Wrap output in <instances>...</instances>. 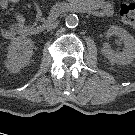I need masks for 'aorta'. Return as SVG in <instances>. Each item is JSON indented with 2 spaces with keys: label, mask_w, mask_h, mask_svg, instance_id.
I'll use <instances>...</instances> for the list:
<instances>
[{
  "label": "aorta",
  "mask_w": 135,
  "mask_h": 135,
  "mask_svg": "<svg viewBox=\"0 0 135 135\" xmlns=\"http://www.w3.org/2000/svg\"><path fill=\"white\" fill-rule=\"evenodd\" d=\"M66 26L69 28H75L79 24V18L76 14H69L65 18Z\"/></svg>",
  "instance_id": "762f6f07"
}]
</instances>
